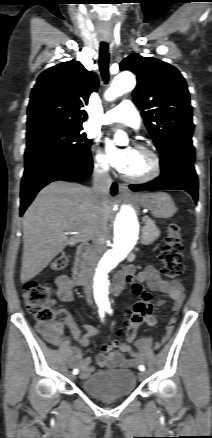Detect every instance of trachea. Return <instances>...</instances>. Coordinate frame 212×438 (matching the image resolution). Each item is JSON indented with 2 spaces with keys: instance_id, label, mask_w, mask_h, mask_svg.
Returning <instances> with one entry per match:
<instances>
[{
  "instance_id": "1",
  "label": "trachea",
  "mask_w": 212,
  "mask_h": 438,
  "mask_svg": "<svg viewBox=\"0 0 212 438\" xmlns=\"http://www.w3.org/2000/svg\"><path fill=\"white\" fill-rule=\"evenodd\" d=\"M99 68L105 84L109 81V46L107 43H101L99 48Z\"/></svg>"
}]
</instances>
